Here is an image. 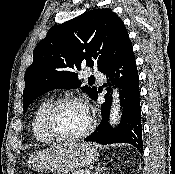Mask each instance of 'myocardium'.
<instances>
[{"mask_svg": "<svg viewBox=\"0 0 175 174\" xmlns=\"http://www.w3.org/2000/svg\"><path fill=\"white\" fill-rule=\"evenodd\" d=\"M70 103H75L83 106L88 113L89 122L86 129L81 133L73 136H65V135H61L56 131L54 126V118L56 113L62 106ZM95 124H96V118L92 112V109L89 103L85 99L78 96H67L54 101L48 108L44 117V127L47 134L53 140L59 141V142H74V141H79L81 139H84L93 131Z\"/></svg>", "mask_w": 175, "mask_h": 174, "instance_id": "1", "label": "myocardium"}]
</instances>
